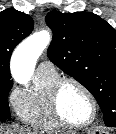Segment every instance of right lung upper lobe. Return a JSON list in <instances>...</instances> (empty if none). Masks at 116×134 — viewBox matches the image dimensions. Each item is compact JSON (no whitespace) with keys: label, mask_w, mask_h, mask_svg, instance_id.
<instances>
[{"label":"right lung upper lobe","mask_w":116,"mask_h":134,"mask_svg":"<svg viewBox=\"0 0 116 134\" xmlns=\"http://www.w3.org/2000/svg\"><path fill=\"white\" fill-rule=\"evenodd\" d=\"M32 30L31 16L15 9L0 12V80H11L9 68L11 54Z\"/></svg>","instance_id":"obj_1"}]
</instances>
